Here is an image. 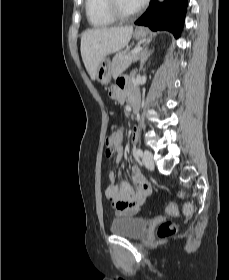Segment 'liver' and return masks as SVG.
Returning a JSON list of instances; mask_svg holds the SVG:
<instances>
[{
	"label": "liver",
	"instance_id": "liver-1",
	"mask_svg": "<svg viewBox=\"0 0 229 280\" xmlns=\"http://www.w3.org/2000/svg\"><path fill=\"white\" fill-rule=\"evenodd\" d=\"M132 34V26L96 28L82 33L81 56L92 80L96 79L97 69L106 56L127 46Z\"/></svg>",
	"mask_w": 229,
	"mask_h": 280
}]
</instances>
